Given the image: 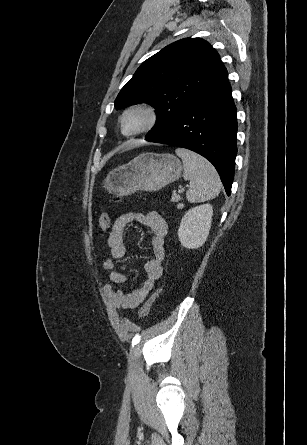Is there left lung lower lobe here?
Listing matches in <instances>:
<instances>
[{
	"label": "left lung lower lobe",
	"instance_id": "0a47b994",
	"mask_svg": "<svg viewBox=\"0 0 307 445\" xmlns=\"http://www.w3.org/2000/svg\"><path fill=\"white\" fill-rule=\"evenodd\" d=\"M236 133V107L226 78L163 131L146 140L187 148L204 156L215 166L230 195L237 153Z\"/></svg>",
	"mask_w": 307,
	"mask_h": 445
}]
</instances>
